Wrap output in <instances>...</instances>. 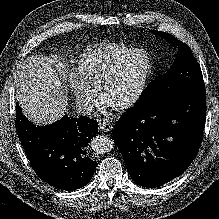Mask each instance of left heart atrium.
Segmentation results:
<instances>
[{
	"label": "left heart atrium",
	"instance_id": "obj_1",
	"mask_svg": "<svg viewBox=\"0 0 219 219\" xmlns=\"http://www.w3.org/2000/svg\"><path fill=\"white\" fill-rule=\"evenodd\" d=\"M103 104H104V105H107V103H106L105 101L103 102Z\"/></svg>",
	"mask_w": 219,
	"mask_h": 219
}]
</instances>
